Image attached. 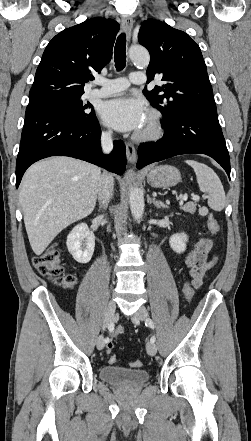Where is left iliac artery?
<instances>
[{
	"label": "left iliac artery",
	"instance_id": "left-iliac-artery-1",
	"mask_svg": "<svg viewBox=\"0 0 251 441\" xmlns=\"http://www.w3.org/2000/svg\"><path fill=\"white\" fill-rule=\"evenodd\" d=\"M145 325L152 328V329H154V327H155L153 321L150 318L145 320ZM155 341H156V338L153 335L150 339V342L154 343Z\"/></svg>",
	"mask_w": 251,
	"mask_h": 441
}]
</instances>
